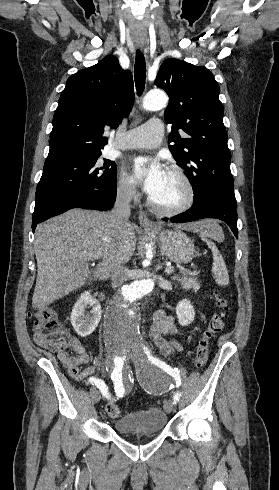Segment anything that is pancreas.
<instances>
[{"instance_id": "cf45deb5", "label": "pancreas", "mask_w": 279, "mask_h": 490, "mask_svg": "<svg viewBox=\"0 0 279 490\" xmlns=\"http://www.w3.org/2000/svg\"><path fill=\"white\" fill-rule=\"evenodd\" d=\"M179 274H183V276L179 278L178 274H174V276H172V280H179L185 290H189V288H199V284H197L196 280H193L191 272L181 270L180 268ZM168 276H171V274H168Z\"/></svg>"}]
</instances>
